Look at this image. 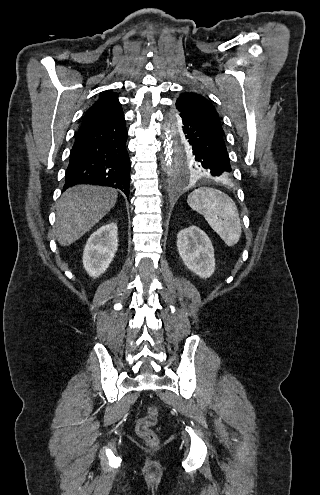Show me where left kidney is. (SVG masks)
Masks as SVG:
<instances>
[{"instance_id": "5707ae66", "label": "left kidney", "mask_w": 320, "mask_h": 495, "mask_svg": "<svg viewBox=\"0 0 320 495\" xmlns=\"http://www.w3.org/2000/svg\"><path fill=\"white\" fill-rule=\"evenodd\" d=\"M178 252L185 266L201 278L210 277L215 270L214 249L209 237L198 227L191 226L177 234Z\"/></svg>"}]
</instances>
